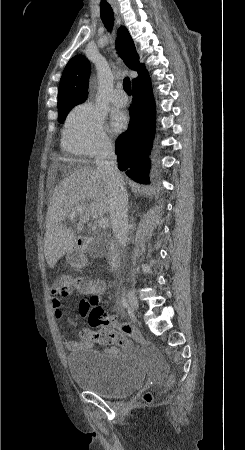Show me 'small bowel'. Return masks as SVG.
I'll return each mask as SVG.
<instances>
[{"mask_svg": "<svg viewBox=\"0 0 245 450\" xmlns=\"http://www.w3.org/2000/svg\"><path fill=\"white\" fill-rule=\"evenodd\" d=\"M91 283L94 286V290L91 293V298H95L96 300H99L101 298V295L103 294L104 290L107 287V283L104 281H91ZM76 290L74 287H69L66 290H62L59 292V294L62 297H67L71 294V291ZM57 292H51V307L53 309L55 318L59 321V323H62L63 320V312L61 310V302L60 299L57 296ZM90 299L84 300L80 305V316L85 317L87 315L86 307L90 305ZM67 321H71V319H67ZM114 328H118L115 326ZM61 338L63 340V343L65 344L66 348L71 352H77L81 350L90 349L93 347L94 344L98 343L94 339H88L82 336L80 340H74L67 327H63L61 331ZM105 351L111 354H118L122 351L121 348L110 346L105 348Z\"/></svg>", "mask_w": 245, "mask_h": 450, "instance_id": "obj_1", "label": "small bowel"}]
</instances>
